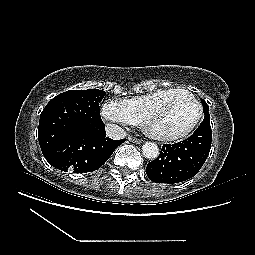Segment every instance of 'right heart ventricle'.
<instances>
[{
	"instance_id": "e07e8e85",
	"label": "right heart ventricle",
	"mask_w": 255,
	"mask_h": 255,
	"mask_svg": "<svg viewBox=\"0 0 255 255\" xmlns=\"http://www.w3.org/2000/svg\"><path fill=\"white\" fill-rule=\"evenodd\" d=\"M181 88H161L152 92L124 100L138 123H142L146 114L170 95L179 92Z\"/></svg>"
}]
</instances>
